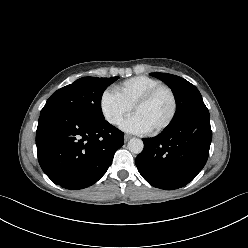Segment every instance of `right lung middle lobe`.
<instances>
[{
  "label": "right lung middle lobe",
  "mask_w": 248,
  "mask_h": 248,
  "mask_svg": "<svg viewBox=\"0 0 248 248\" xmlns=\"http://www.w3.org/2000/svg\"><path fill=\"white\" fill-rule=\"evenodd\" d=\"M119 77H83L54 92L47 100L40 114L49 111H71L101 120V97L104 90Z\"/></svg>",
  "instance_id": "right-lung-middle-lobe-1"
}]
</instances>
